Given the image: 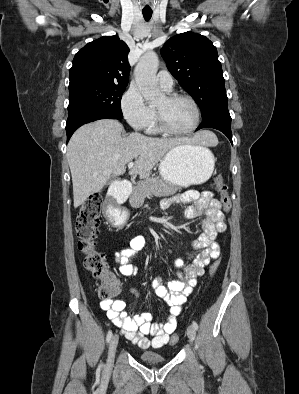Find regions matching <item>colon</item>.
Listing matches in <instances>:
<instances>
[{"label":"colon","instance_id":"5ec220e1","mask_svg":"<svg viewBox=\"0 0 299 394\" xmlns=\"http://www.w3.org/2000/svg\"><path fill=\"white\" fill-rule=\"evenodd\" d=\"M214 186L220 194L223 211L228 213L231 202L224 178L220 175L216 176ZM102 203V196L98 193L93 194L84 202L77 215L76 232L79 238L78 247L84 254V267L98 281V296L104 301H109L120 292L122 283L112 272L105 254L96 249L95 240L98 234ZM218 267L219 260H215L210 267L211 276L217 272ZM178 340L177 334L171 337L172 344L177 343Z\"/></svg>","mask_w":299,"mask_h":394}]
</instances>
